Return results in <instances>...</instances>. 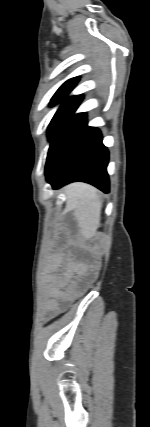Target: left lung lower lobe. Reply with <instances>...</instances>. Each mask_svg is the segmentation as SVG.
Returning a JSON list of instances; mask_svg holds the SVG:
<instances>
[{"label": "left lung lower lobe", "instance_id": "1", "mask_svg": "<svg viewBox=\"0 0 150 427\" xmlns=\"http://www.w3.org/2000/svg\"><path fill=\"white\" fill-rule=\"evenodd\" d=\"M82 98L57 113L49 125L46 178L54 189L83 181L108 193V151L101 134L97 128L87 126L86 113L74 115Z\"/></svg>", "mask_w": 150, "mask_h": 427}]
</instances>
